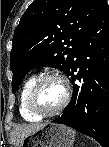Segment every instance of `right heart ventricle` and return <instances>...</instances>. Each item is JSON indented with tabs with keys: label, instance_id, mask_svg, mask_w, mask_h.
Instances as JSON below:
<instances>
[{
	"label": "right heart ventricle",
	"instance_id": "e07e8e85",
	"mask_svg": "<svg viewBox=\"0 0 109 147\" xmlns=\"http://www.w3.org/2000/svg\"><path fill=\"white\" fill-rule=\"evenodd\" d=\"M36 80H37L36 76H31L30 78H28L26 80V82L24 83L22 90H21V94H20L19 111H20L21 116L26 121H29V122H36V121L40 120V117H37V116L31 114L28 111L27 106H26L27 95Z\"/></svg>",
	"mask_w": 109,
	"mask_h": 147
}]
</instances>
